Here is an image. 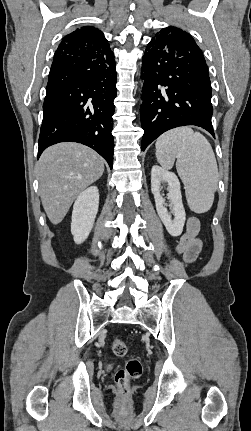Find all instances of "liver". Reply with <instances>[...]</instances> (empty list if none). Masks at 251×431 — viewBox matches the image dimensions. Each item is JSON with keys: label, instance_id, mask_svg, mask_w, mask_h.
Listing matches in <instances>:
<instances>
[{"label": "liver", "instance_id": "liver-1", "mask_svg": "<svg viewBox=\"0 0 251 431\" xmlns=\"http://www.w3.org/2000/svg\"><path fill=\"white\" fill-rule=\"evenodd\" d=\"M37 170L43 208L57 225L80 193L102 176L104 160L85 145L60 143L43 152Z\"/></svg>", "mask_w": 251, "mask_h": 431}]
</instances>
